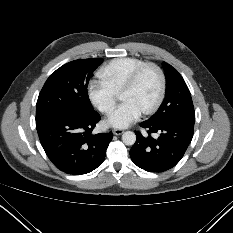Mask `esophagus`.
Segmentation results:
<instances>
[{
	"instance_id": "obj_1",
	"label": "esophagus",
	"mask_w": 233,
	"mask_h": 233,
	"mask_svg": "<svg viewBox=\"0 0 233 233\" xmlns=\"http://www.w3.org/2000/svg\"><path fill=\"white\" fill-rule=\"evenodd\" d=\"M124 132L123 129H113V134L114 135H121Z\"/></svg>"
}]
</instances>
